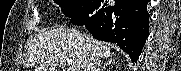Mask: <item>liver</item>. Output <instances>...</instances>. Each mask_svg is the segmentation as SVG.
<instances>
[{"instance_id": "obj_1", "label": "liver", "mask_w": 181, "mask_h": 71, "mask_svg": "<svg viewBox=\"0 0 181 71\" xmlns=\"http://www.w3.org/2000/svg\"><path fill=\"white\" fill-rule=\"evenodd\" d=\"M91 53L103 59L113 56L104 42L75 29L56 28L35 36L28 47L24 66L30 68L39 63L34 71H55L56 66L86 71Z\"/></svg>"}]
</instances>
